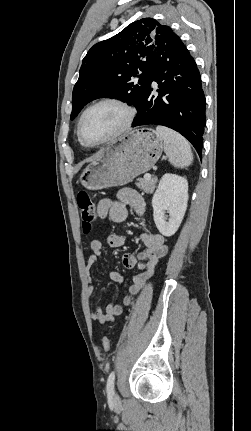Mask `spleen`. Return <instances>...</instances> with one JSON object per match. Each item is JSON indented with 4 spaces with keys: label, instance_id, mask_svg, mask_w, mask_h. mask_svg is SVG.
Wrapping results in <instances>:
<instances>
[{
    "label": "spleen",
    "instance_id": "spleen-1",
    "mask_svg": "<svg viewBox=\"0 0 251 431\" xmlns=\"http://www.w3.org/2000/svg\"><path fill=\"white\" fill-rule=\"evenodd\" d=\"M156 133L162 138L164 151L173 167L184 168L191 165L193 154L190 144L184 137L164 126H157Z\"/></svg>",
    "mask_w": 251,
    "mask_h": 431
}]
</instances>
